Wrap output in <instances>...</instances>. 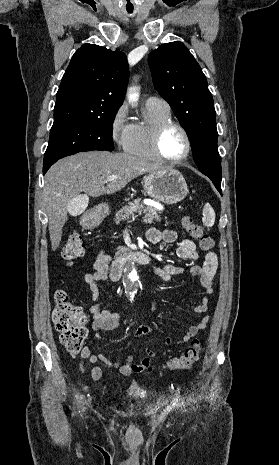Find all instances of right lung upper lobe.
Listing matches in <instances>:
<instances>
[{
  "label": "right lung upper lobe",
  "mask_w": 279,
  "mask_h": 465,
  "mask_svg": "<svg viewBox=\"0 0 279 465\" xmlns=\"http://www.w3.org/2000/svg\"><path fill=\"white\" fill-rule=\"evenodd\" d=\"M129 77L125 54L84 44L63 75L54 107V123L100 117L118 110Z\"/></svg>",
  "instance_id": "right-lung-upper-lobe-1"
}]
</instances>
